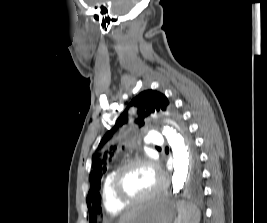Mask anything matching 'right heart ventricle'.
Segmentation results:
<instances>
[{
    "instance_id": "obj_1",
    "label": "right heart ventricle",
    "mask_w": 267,
    "mask_h": 223,
    "mask_svg": "<svg viewBox=\"0 0 267 223\" xmlns=\"http://www.w3.org/2000/svg\"><path fill=\"white\" fill-rule=\"evenodd\" d=\"M118 167L112 168L105 176L102 185V203L105 210L110 214H118L125 210V205L119 203L112 194L111 182Z\"/></svg>"
}]
</instances>
